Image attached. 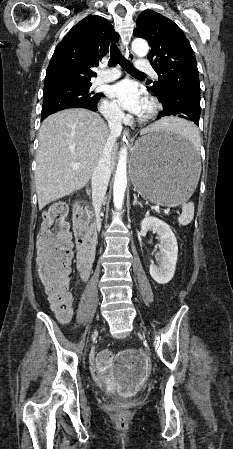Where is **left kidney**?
Masks as SVG:
<instances>
[{
    "label": "left kidney",
    "instance_id": "5707ae66",
    "mask_svg": "<svg viewBox=\"0 0 233 449\" xmlns=\"http://www.w3.org/2000/svg\"><path fill=\"white\" fill-rule=\"evenodd\" d=\"M140 226L142 231L152 230L159 236V265L151 263L149 272L157 283L166 284L173 278L176 269L178 256L176 237L170 226L156 217L146 216Z\"/></svg>",
    "mask_w": 233,
    "mask_h": 449
}]
</instances>
